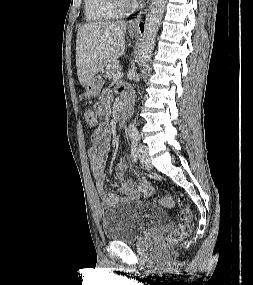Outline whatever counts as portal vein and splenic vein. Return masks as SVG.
Wrapping results in <instances>:
<instances>
[{"instance_id": "portal-vein-and-splenic-vein-1", "label": "portal vein and splenic vein", "mask_w": 253, "mask_h": 285, "mask_svg": "<svg viewBox=\"0 0 253 285\" xmlns=\"http://www.w3.org/2000/svg\"><path fill=\"white\" fill-rule=\"evenodd\" d=\"M121 78H123V73L118 72L114 75L113 82L115 83V82L119 81Z\"/></svg>"}]
</instances>
